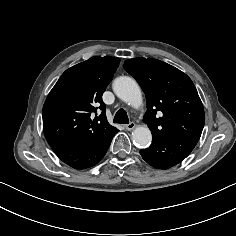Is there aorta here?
<instances>
[{
	"label": "aorta",
	"instance_id": "aorta-1",
	"mask_svg": "<svg viewBox=\"0 0 236 236\" xmlns=\"http://www.w3.org/2000/svg\"><path fill=\"white\" fill-rule=\"evenodd\" d=\"M113 91L118 98L137 108L142 104V93L137 82L128 76H121L114 80ZM132 139L136 145L145 148L152 141V134L148 127L141 126L134 129Z\"/></svg>",
	"mask_w": 236,
	"mask_h": 236
}]
</instances>
